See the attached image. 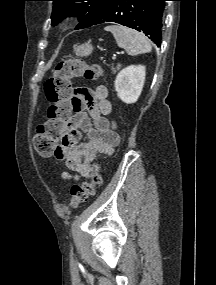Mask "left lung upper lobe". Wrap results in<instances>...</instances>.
Masks as SVG:
<instances>
[{"instance_id":"left-lung-upper-lobe-1","label":"left lung upper lobe","mask_w":216,"mask_h":285,"mask_svg":"<svg viewBox=\"0 0 216 285\" xmlns=\"http://www.w3.org/2000/svg\"><path fill=\"white\" fill-rule=\"evenodd\" d=\"M53 1L52 25L64 17L75 15L80 23L76 29L92 26L105 11L112 0H51Z\"/></svg>"}]
</instances>
